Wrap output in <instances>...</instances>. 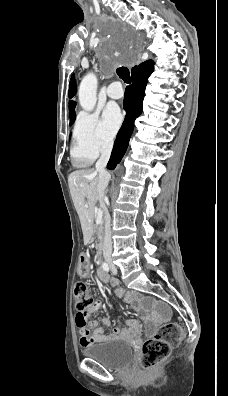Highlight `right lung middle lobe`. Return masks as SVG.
Listing matches in <instances>:
<instances>
[{
  "label": "right lung middle lobe",
  "instance_id": "right-lung-middle-lobe-1",
  "mask_svg": "<svg viewBox=\"0 0 228 396\" xmlns=\"http://www.w3.org/2000/svg\"><path fill=\"white\" fill-rule=\"evenodd\" d=\"M74 115H75V113H70V117H71L70 125H72V123L74 121Z\"/></svg>",
  "mask_w": 228,
  "mask_h": 396
}]
</instances>
